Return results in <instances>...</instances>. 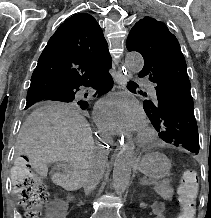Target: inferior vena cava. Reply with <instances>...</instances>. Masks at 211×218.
<instances>
[{
  "mask_svg": "<svg viewBox=\"0 0 211 218\" xmlns=\"http://www.w3.org/2000/svg\"><path fill=\"white\" fill-rule=\"evenodd\" d=\"M98 154L100 158H106V154H104V152H98ZM100 164H102V162H97L95 170L89 172V174L85 176L84 180L80 182L81 186L84 188L85 196H89V194L97 188L99 180H101L102 170L100 168Z\"/></svg>",
  "mask_w": 211,
  "mask_h": 218,
  "instance_id": "obj_1",
  "label": "inferior vena cava"
}]
</instances>
